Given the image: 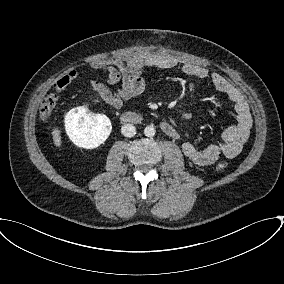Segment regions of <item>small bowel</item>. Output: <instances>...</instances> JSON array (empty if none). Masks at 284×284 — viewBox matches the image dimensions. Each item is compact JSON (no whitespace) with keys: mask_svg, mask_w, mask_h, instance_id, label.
Here are the masks:
<instances>
[{"mask_svg":"<svg viewBox=\"0 0 284 284\" xmlns=\"http://www.w3.org/2000/svg\"><path fill=\"white\" fill-rule=\"evenodd\" d=\"M178 64L179 61L174 56L152 53L134 55L126 62L93 61L90 64L91 68L104 71L106 76L103 82L93 81L90 89L99 94L108 105L118 108L123 101L138 96L144 91L145 80L142 76L144 68L172 69ZM182 71L186 75L208 80L217 91L225 94L233 104L237 118L236 123L223 131L220 141L209 144L203 149L192 142H184L182 144L183 154L189 161L201 166L211 165L221 157H236L249 138L253 122L249 106L242 94L226 77L218 73H211L199 65L185 63L182 65ZM77 75L76 70L67 72L55 82L54 88L57 91H63ZM119 82L121 87L112 91L110 86Z\"/></svg>","mask_w":284,"mask_h":284,"instance_id":"small-bowel-1","label":"small bowel"}]
</instances>
